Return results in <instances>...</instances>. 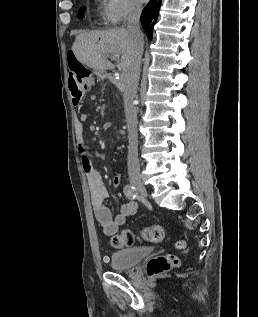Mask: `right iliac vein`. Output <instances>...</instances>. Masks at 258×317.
Here are the masks:
<instances>
[{"label":"right iliac vein","mask_w":258,"mask_h":317,"mask_svg":"<svg viewBox=\"0 0 258 317\" xmlns=\"http://www.w3.org/2000/svg\"><path fill=\"white\" fill-rule=\"evenodd\" d=\"M131 185L134 186L142 197H148L147 189L142 179H132Z\"/></svg>","instance_id":"1"}]
</instances>
